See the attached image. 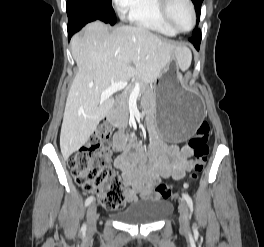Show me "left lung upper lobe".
I'll use <instances>...</instances> for the list:
<instances>
[{
  "label": "left lung upper lobe",
  "mask_w": 264,
  "mask_h": 247,
  "mask_svg": "<svg viewBox=\"0 0 264 247\" xmlns=\"http://www.w3.org/2000/svg\"><path fill=\"white\" fill-rule=\"evenodd\" d=\"M192 2L195 5V10H196V14H197V20L199 21L200 13H201V4H202L203 0H192ZM197 35H200V30L195 28L193 33H192V36H197Z\"/></svg>",
  "instance_id": "5c2ea615"
}]
</instances>
